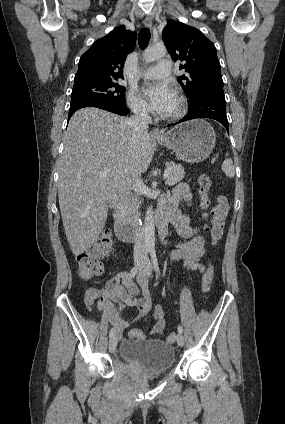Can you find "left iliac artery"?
Returning a JSON list of instances; mask_svg holds the SVG:
<instances>
[{"mask_svg": "<svg viewBox=\"0 0 285 424\" xmlns=\"http://www.w3.org/2000/svg\"><path fill=\"white\" fill-rule=\"evenodd\" d=\"M150 255H151V260L153 262V266L155 268V271L157 273V275H160V270H159V266H158V261H157V257H156V251L154 248H152L150 250ZM178 332L182 333L183 332V327L181 325H178Z\"/></svg>", "mask_w": 285, "mask_h": 424, "instance_id": "obj_1", "label": "left iliac artery"}]
</instances>
